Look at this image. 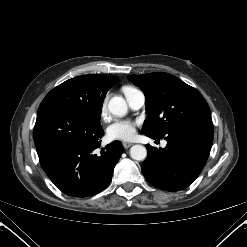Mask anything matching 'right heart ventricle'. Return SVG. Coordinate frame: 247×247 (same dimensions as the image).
Wrapping results in <instances>:
<instances>
[{"label":"right heart ventricle","mask_w":247,"mask_h":247,"mask_svg":"<svg viewBox=\"0 0 247 247\" xmlns=\"http://www.w3.org/2000/svg\"><path fill=\"white\" fill-rule=\"evenodd\" d=\"M132 90H134V88L133 87H130V86H124L122 88V91H123L124 94H126V93H128V92H130Z\"/></svg>","instance_id":"right-heart-ventricle-1"}]
</instances>
